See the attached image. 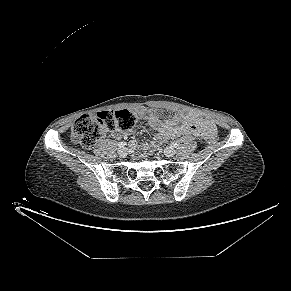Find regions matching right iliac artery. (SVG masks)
Listing matches in <instances>:
<instances>
[{
    "instance_id": "right-iliac-artery-1",
    "label": "right iliac artery",
    "mask_w": 291,
    "mask_h": 291,
    "mask_svg": "<svg viewBox=\"0 0 291 291\" xmlns=\"http://www.w3.org/2000/svg\"><path fill=\"white\" fill-rule=\"evenodd\" d=\"M125 145H126V142H120V143H118V147H120V148L124 147Z\"/></svg>"
}]
</instances>
